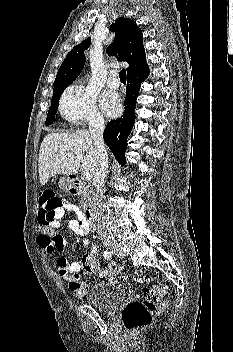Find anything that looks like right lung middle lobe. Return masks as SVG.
<instances>
[{
    "label": "right lung middle lobe",
    "instance_id": "1",
    "mask_svg": "<svg viewBox=\"0 0 233 352\" xmlns=\"http://www.w3.org/2000/svg\"><path fill=\"white\" fill-rule=\"evenodd\" d=\"M66 87L67 86H61V87H56L53 89V97L51 99V106L49 108L47 119L45 122L46 125H49L53 122L55 114L58 109V103H59L60 96L63 93V91L66 89Z\"/></svg>",
    "mask_w": 233,
    "mask_h": 352
}]
</instances>
